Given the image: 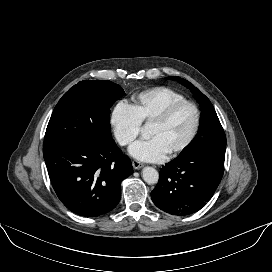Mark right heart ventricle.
<instances>
[{"instance_id": "e07e8e85", "label": "right heart ventricle", "mask_w": 272, "mask_h": 272, "mask_svg": "<svg viewBox=\"0 0 272 272\" xmlns=\"http://www.w3.org/2000/svg\"><path fill=\"white\" fill-rule=\"evenodd\" d=\"M132 108L141 123L150 122L169 105L186 100L181 93L164 86L154 87L133 97Z\"/></svg>"}]
</instances>
